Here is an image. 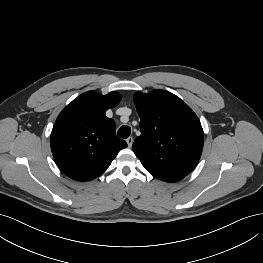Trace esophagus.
I'll return each instance as SVG.
<instances>
[{"label":"esophagus","instance_id":"esophagus-1","mask_svg":"<svg viewBox=\"0 0 263 263\" xmlns=\"http://www.w3.org/2000/svg\"><path fill=\"white\" fill-rule=\"evenodd\" d=\"M133 141H134L133 137H128L126 139V142H127V145H128L129 148L132 147Z\"/></svg>","mask_w":263,"mask_h":263}]
</instances>
